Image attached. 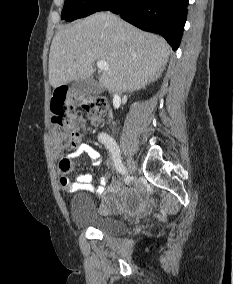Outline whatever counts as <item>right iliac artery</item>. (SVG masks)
<instances>
[{
  "mask_svg": "<svg viewBox=\"0 0 233 284\" xmlns=\"http://www.w3.org/2000/svg\"><path fill=\"white\" fill-rule=\"evenodd\" d=\"M99 141L105 145V147L111 152L114 165L116 169L120 172H127L125 166L123 165L120 158V150L114 139L107 133L102 132L98 135Z\"/></svg>",
  "mask_w": 233,
  "mask_h": 284,
  "instance_id": "82829eb1",
  "label": "right iliac artery"
}]
</instances>
